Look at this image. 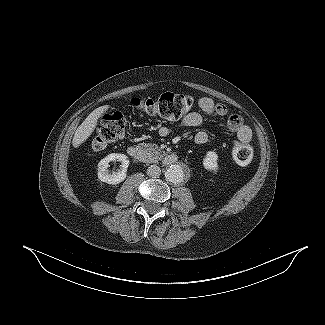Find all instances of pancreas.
<instances>
[{
    "label": "pancreas",
    "instance_id": "cf45deb5",
    "mask_svg": "<svg viewBox=\"0 0 325 325\" xmlns=\"http://www.w3.org/2000/svg\"><path fill=\"white\" fill-rule=\"evenodd\" d=\"M141 146L144 148L150 159H160L165 155V152L161 153L160 148L156 144L142 143Z\"/></svg>",
    "mask_w": 325,
    "mask_h": 325
}]
</instances>
